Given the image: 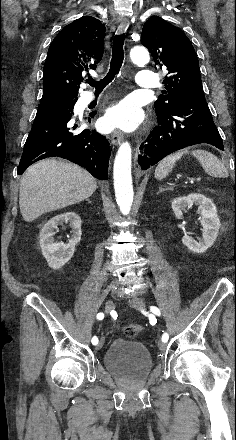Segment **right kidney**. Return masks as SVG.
Instances as JSON below:
<instances>
[{"instance_id":"1","label":"right kidney","mask_w":236,"mask_h":440,"mask_svg":"<svg viewBox=\"0 0 236 440\" xmlns=\"http://www.w3.org/2000/svg\"><path fill=\"white\" fill-rule=\"evenodd\" d=\"M70 223L72 237L68 243L56 242L55 230L58 225ZM81 219L74 212H66L50 219L40 232V247L49 267L59 269L64 266L73 256L75 245L81 240Z\"/></svg>"}]
</instances>
